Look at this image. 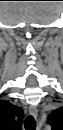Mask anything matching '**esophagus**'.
Instances as JSON below:
<instances>
[{
    "label": "esophagus",
    "instance_id": "1",
    "mask_svg": "<svg viewBox=\"0 0 63 130\" xmlns=\"http://www.w3.org/2000/svg\"><path fill=\"white\" fill-rule=\"evenodd\" d=\"M29 112H30V114L33 116V117H37V115H38V110H37V108H36V106H30L29 107Z\"/></svg>",
    "mask_w": 63,
    "mask_h": 130
}]
</instances>
